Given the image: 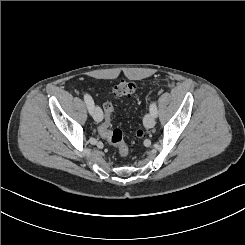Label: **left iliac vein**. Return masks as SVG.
<instances>
[{
	"label": "left iliac vein",
	"instance_id": "1",
	"mask_svg": "<svg viewBox=\"0 0 245 245\" xmlns=\"http://www.w3.org/2000/svg\"><path fill=\"white\" fill-rule=\"evenodd\" d=\"M144 125L146 128H152L155 125V119L152 114H146L144 117Z\"/></svg>",
	"mask_w": 245,
	"mask_h": 245
}]
</instances>
